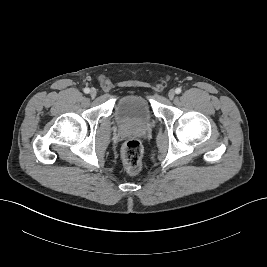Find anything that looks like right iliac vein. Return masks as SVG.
Returning a JSON list of instances; mask_svg holds the SVG:
<instances>
[{
    "mask_svg": "<svg viewBox=\"0 0 267 267\" xmlns=\"http://www.w3.org/2000/svg\"><path fill=\"white\" fill-rule=\"evenodd\" d=\"M96 94H97L96 89L92 88V89L90 90V95H91V97L94 98V97L96 96Z\"/></svg>",
    "mask_w": 267,
    "mask_h": 267,
    "instance_id": "1",
    "label": "right iliac vein"
}]
</instances>
